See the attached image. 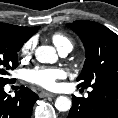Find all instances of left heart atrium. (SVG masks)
Returning <instances> with one entry per match:
<instances>
[{"mask_svg":"<svg viewBox=\"0 0 118 118\" xmlns=\"http://www.w3.org/2000/svg\"><path fill=\"white\" fill-rule=\"evenodd\" d=\"M65 77V72L60 68L37 67L27 72L29 82L45 89H55L57 81Z\"/></svg>","mask_w":118,"mask_h":118,"instance_id":"39dd6f15","label":"left heart atrium"}]
</instances>
